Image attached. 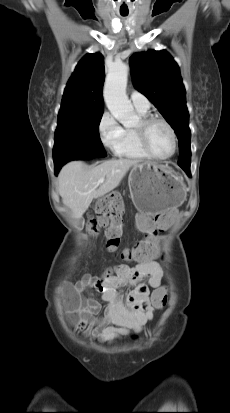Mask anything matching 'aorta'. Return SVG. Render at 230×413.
<instances>
[{
	"mask_svg": "<svg viewBox=\"0 0 230 413\" xmlns=\"http://www.w3.org/2000/svg\"><path fill=\"white\" fill-rule=\"evenodd\" d=\"M128 71L129 67L124 63L113 65L107 74L103 91L108 110L125 127L133 125L137 119L126 95Z\"/></svg>",
	"mask_w": 230,
	"mask_h": 413,
	"instance_id": "aorta-1",
	"label": "aorta"
}]
</instances>
